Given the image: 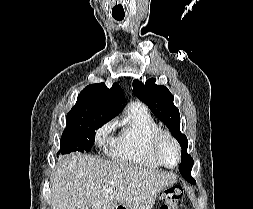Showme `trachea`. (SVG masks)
Listing matches in <instances>:
<instances>
[{
	"label": "trachea",
	"mask_w": 253,
	"mask_h": 209,
	"mask_svg": "<svg viewBox=\"0 0 253 209\" xmlns=\"http://www.w3.org/2000/svg\"><path fill=\"white\" fill-rule=\"evenodd\" d=\"M116 20H119V21H121V20H123V18L124 17H114Z\"/></svg>",
	"instance_id": "trachea-1"
}]
</instances>
